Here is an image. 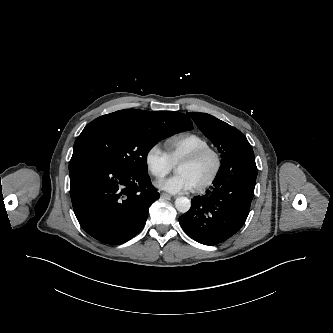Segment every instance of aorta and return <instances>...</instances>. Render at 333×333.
Segmentation results:
<instances>
[{
  "instance_id": "762f6f07",
  "label": "aorta",
  "mask_w": 333,
  "mask_h": 333,
  "mask_svg": "<svg viewBox=\"0 0 333 333\" xmlns=\"http://www.w3.org/2000/svg\"><path fill=\"white\" fill-rule=\"evenodd\" d=\"M175 207L181 213H186L191 207V202L186 197H179L175 200Z\"/></svg>"
}]
</instances>
